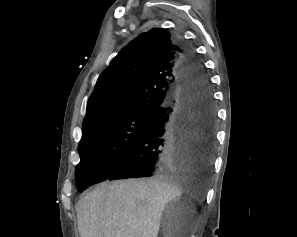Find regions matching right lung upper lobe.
I'll use <instances>...</instances> for the list:
<instances>
[{"label":"right lung upper lobe","instance_id":"cb5924a9","mask_svg":"<svg viewBox=\"0 0 297 237\" xmlns=\"http://www.w3.org/2000/svg\"><path fill=\"white\" fill-rule=\"evenodd\" d=\"M183 53L167 30L154 28L127 45L99 76L89 97L85 130L97 121L134 112H155L182 82Z\"/></svg>","mask_w":297,"mask_h":237}]
</instances>
